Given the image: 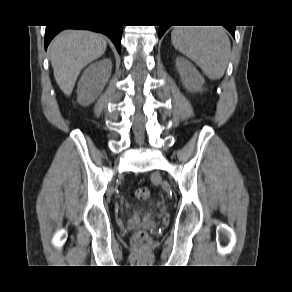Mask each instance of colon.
<instances>
[{"label": "colon", "instance_id": "5ec220e1", "mask_svg": "<svg viewBox=\"0 0 292 292\" xmlns=\"http://www.w3.org/2000/svg\"><path fill=\"white\" fill-rule=\"evenodd\" d=\"M135 196L140 200H146L150 197V189L146 186L139 187L135 190ZM148 240V235L145 230L137 231L133 236L135 244H143Z\"/></svg>", "mask_w": 292, "mask_h": 292}]
</instances>
